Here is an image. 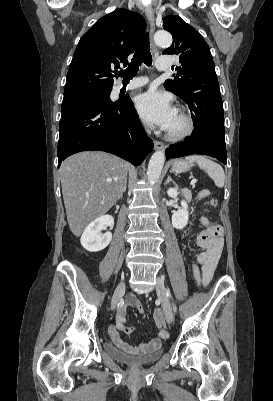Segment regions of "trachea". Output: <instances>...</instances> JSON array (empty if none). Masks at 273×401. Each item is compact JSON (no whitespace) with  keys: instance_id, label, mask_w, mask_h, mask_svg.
Returning a JSON list of instances; mask_svg holds the SVG:
<instances>
[{"instance_id":"3493384b","label":"trachea","mask_w":273,"mask_h":401,"mask_svg":"<svg viewBox=\"0 0 273 401\" xmlns=\"http://www.w3.org/2000/svg\"><path fill=\"white\" fill-rule=\"evenodd\" d=\"M141 63L150 66L152 64V56L150 52L149 34L146 32L137 47V50L126 70L118 73V76L123 77V81H129L138 72Z\"/></svg>"}]
</instances>
